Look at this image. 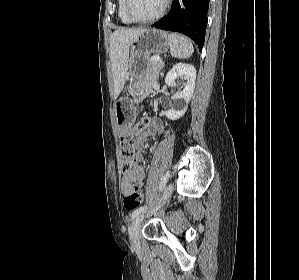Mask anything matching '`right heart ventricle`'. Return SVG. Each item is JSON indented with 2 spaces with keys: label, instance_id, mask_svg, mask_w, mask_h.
Listing matches in <instances>:
<instances>
[{
  "label": "right heart ventricle",
  "instance_id": "e07e8e85",
  "mask_svg": "<svg viewBox=\"0 0 299 280\" xmlns=\"http://www.w3.org/2000/svg\"><path fill=\"white\" fill-rule=\"evenodd\" d=\"M118 15L121 19V21L124 24H131L132 22L128 19V17L125 14L124 11V0H119V9H118Z\"/></svg>",
  "mask_w": 299,
  "mask_h": 280
}]
</instances>
